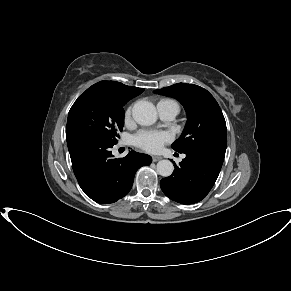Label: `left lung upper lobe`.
Segmentation results:
<instances>
[{"instance_id": "left-lung-upper-lobe-1", "label": "left lung upper lobe", "mask_w": 291, "mask_h": 291, "mask_svg": "<svg viewBox=\"0 0 291 291\" xmlns=\"http://www.w3.org/2000/svg\"><path fill=\"white\" fill-rule=\"evenodd\" d=\"M154 92L177 99L186 110L188 121L180 138L172 144L175 151L225 155L226 122L218 103L207 90L194 84L178 83Z\"/></svg>"}]
</instances>
